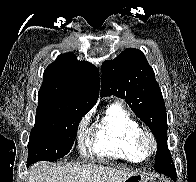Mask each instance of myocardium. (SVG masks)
I'll use <instances>...</instances> for the list:
<instances>
[{
    "label": "myocardium",
    "mask_w": 196,
    "mask_h": 182,
    "mask_svg": "<svg viewBox=\"0 0 196 182\" xmlns=\"http://www.w3.org/2000/svg\"><path fill=\"white\" fill-rule=\"evenodd\" d=\"M135 142L145 156L152 154L157 148L156 138L149 130L141 129L135 137Z\"/></svg>",
    "instance_id": "1"
}]
</instances>
